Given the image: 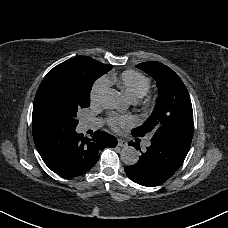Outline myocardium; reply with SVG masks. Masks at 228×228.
<instances>
[{
  "label": "myocardium",
  "instance_id": "obj_1",
  "mask_svg": "<svg viewBox=\"0 0 228 228\" xmlns=\"http://www.w3.org/2000/svg\"><path fill=\"white\" fill-rule=\"evenodd\" d=\"M130 103L132 106H141V109L145 110L150 106L151 101H150V99H147V100L143 101L142 103H140L139 100H132Z\"/></svg>",
  "mask_w": 228,
  "mask_h": 228
}]
</instances>
